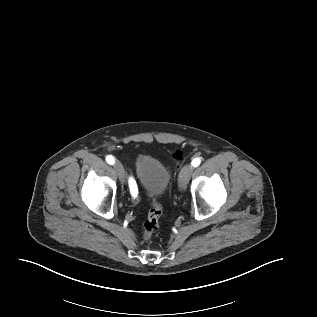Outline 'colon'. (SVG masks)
Here are the masks:
<instances>
[{"instance_id": "obj_1", "label": "colon", "mask_w": 317, "mask_h": 317, "mask_svg": "<svg viewBox=\"0 0 317 317\" xmlns=\"http://www.w3.org/2000/svg\"><path fill=\"white\" fill-rule=\"evenodd\" d=\"M173 157L175 160H180L182 157V154L180 151H176L173 154ZM150 202H151V208L148 212L147 219L145 220L143 225L144 238L146 240H149L152 237V235L158 230L159 220L162 215V206L156 200V198L151 197Z\"/></svg>"}]
</instances>
